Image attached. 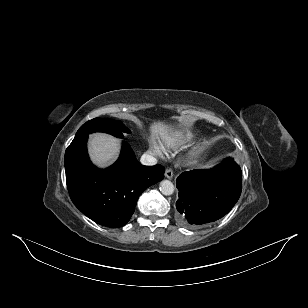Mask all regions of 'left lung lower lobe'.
I'll return each mask as SVG.
<instances>
[{
	"label": "left lung lower lobe",
	"instance_id": "1",
	"mask_svg": "<svg viewBox=\"0 0 308 308\" xmlns=\"http://www.w3.org/2000/svg\"><path fill=\"white\" fill-rule=\"evenodd\" d=\"M176 183L179 220L197 227L222 218L232 209L241 194L242 174L234 160L228 158L210 170L183 172Z\"/></svg>",
	"mask_w": 308,
	"mask_h": 308
}]
</instances>
